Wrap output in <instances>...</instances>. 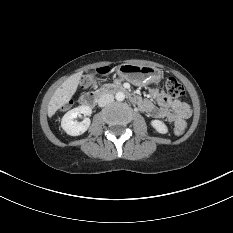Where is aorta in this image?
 <instances>
[{
  "instance_id": "aorta-1",
  "label": "aorta",
  "mask_w": 233,
  "mask_h": 233,
  "mask_svg": "<svg viewBox=\"0 0 233 233\" xmlns=\"http://www.w3.org/2000/svg\"><path fill=\"white\" fill-rule=\"evenodd\" d=\"M115 98L117 101H123L125 99V94L123 92H117Z\"/></svg>"
}]
</instances>
